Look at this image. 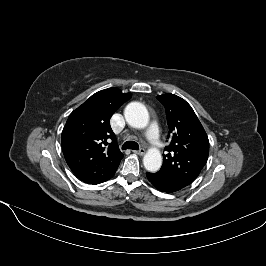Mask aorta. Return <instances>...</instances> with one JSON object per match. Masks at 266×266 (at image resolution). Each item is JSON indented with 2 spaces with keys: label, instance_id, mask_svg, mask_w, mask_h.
Masks as SVG:
<instances>
[{
  "label": "aorta",
  "instance_id": "1",
  "mask_svg": "<svg viewBox=\"0 0 266 266\" xmlns=\"http://www.w3.org/2000/svg\"><path fill=\"white\" fill-rule=\"evenodd\" d=\"M128 123L135 128H145L149 122V113L147 108L140 102L129 103L124 112ZM143 164L147 171L156 172L162 165V156L158 149L151 148L143 158Z\"/></svg>",
  "mask_w": 266,
  "mask_h": 266
}]
</instances>
